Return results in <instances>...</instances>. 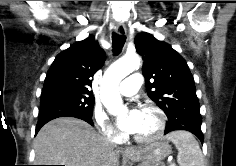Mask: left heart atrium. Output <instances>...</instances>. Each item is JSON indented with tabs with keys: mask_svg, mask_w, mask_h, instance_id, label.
<instances>
[{
	"mask_svg": "<svg viewBox=\"0 0 236 166\" xmlns=\"http://www.w3.org/2000/svg\"><path fill=\"white\" fill-rule=\"evenodd\" d=\"M120 129L127 134H136L141 125V111L132 109L119 121Z\"/></svg>",
	"mask_w": 236,
	"mask_h": 166,
	"instance_id": "obj_1",
	"label": "left heart atrium"
}]
</instances>
